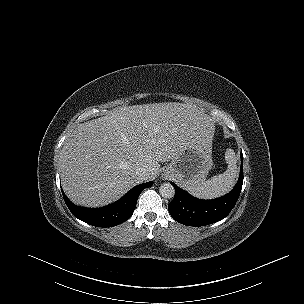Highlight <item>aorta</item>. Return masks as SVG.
Returning <instances> with one entry per match:
<instances>
[{
  "label": "aorta",
  "mask_w": 304,
  "mask_h": 304,
  "mask_svg": "<svg viewBox=\"0 0 304 304\" xmlns=\"http://www.w3.org/2000/svg\"><path fill=\"white\" fill-rule=\"evenodd\" d=\"M160 195L166 199H172L175 195V188L170 183H163L159 188Z\"/></svg>",
  "instance_id": "aorta-1"
}]
</instances>
